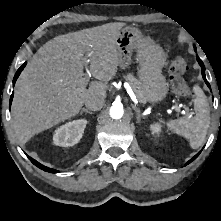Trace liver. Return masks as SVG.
Here are the masks:
<instances>
[{"label": "liver", "instance_id": "1", "mask_svg": "<svg viewBox=\"0 0 221 221\" xmlns=\"http://www.w3.org/2000/svg\"><path fill=\"white\" fill-rule=\"evenodd\" d=\"M124 25L109 23L60 35L40 47L17 82L12 104L21 143L77 115L90 97H106L107 82L118 70L116 39ZM88 55L90 73L98 81L86 88Z\"/></svg>", "mask_w": 221, "mask_h": 221}]
</instances>
